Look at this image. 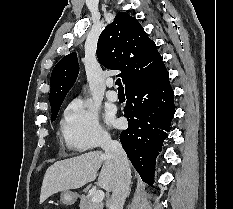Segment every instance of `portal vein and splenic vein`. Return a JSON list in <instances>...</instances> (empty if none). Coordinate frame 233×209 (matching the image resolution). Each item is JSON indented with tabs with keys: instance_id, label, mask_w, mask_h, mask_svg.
Wrapping results in <instances>:
<instances>
[{
	"instance_id": "obj_1",
	"label": "portal vein and splenic vein",
	"mask_w": 233,
	"mask_h": 209,
	"mask_svg": "<svg viewBox=\"0 0 233 209\" xmlns=\"http://www.w3.org/2000/svg\"><path fill=\"white\" fill-rule=\"evenodd\" d=\"M104 196L105 194L103 190H97L92 197V202L101 203L104 199Z\"/></svg>"
}]
</instances>
